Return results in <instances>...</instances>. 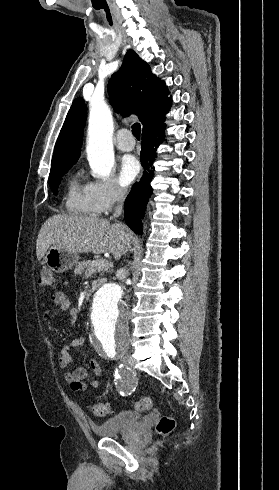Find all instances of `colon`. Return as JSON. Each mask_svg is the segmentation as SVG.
Instances as JSON below:
<instances>
[{"label":"colon","mask_w":279,"mask_h":490,"mask_svg":"<svg viewBox=\"0 0 279 490\" xmlns=\"http://www.w3.org/2000/svg\"><path fill=\"white\" fill-rule=\"evenodd\" d=\"M56 277L53 271L44 269L40 275V285L42 287H55ZM152 405V399L150 397H142L135 403V410L138 412H144L150 409ZM91 411L96 416L107 417L111 414V406L103 402H94L91 404ZM175 427V421L173 416L164 414L159 419L156 425V431L160 435H168L172 433Z\"/></svg>","instance_id":"5ec220e1"}]
</instances>
